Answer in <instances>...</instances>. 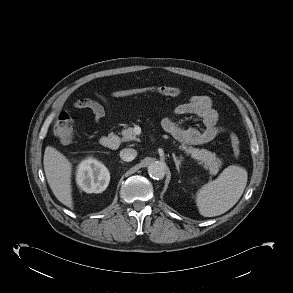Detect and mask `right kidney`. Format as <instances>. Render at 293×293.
Returning a JSON list of instances; mask_svg holds the SVG:
<instances>
[{"mask_svg":"<svg viewBox=\"0 0 293 293\" xmlns=\"http://www.w3.org/2000/svg\"><path fill=\"white\" fill-rule=\"evenodd\" d=\"M76 181L86 193H101L108 187L110 173L103 163L88 157L79 164Z\"/></svg>","mask_w":293,"mask_h":293,"instance_id":"right-kidney-1","label":"right kidney"}]
</instances>
